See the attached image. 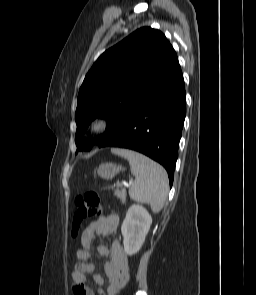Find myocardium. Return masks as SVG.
I'll list each match as a JSON object with an SVG mask.
<instances>
[{
	"instance_id": "1",
	"label": "myocardium",
	"mask_w": 256,
	"mask_h": 295,
	"mask_svg": "<svg viewBox=\"0 0 256 295\" xmlns=\"http://www.w3.org/2000/svg\"><path fill=\"white\" fill-rule=\"evenodd\" d=\"M108 126V121L103 116H96L94 117L88 126V129L91 133H100L103 132Z\"/></svg>"
}]
</instances>
